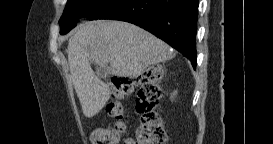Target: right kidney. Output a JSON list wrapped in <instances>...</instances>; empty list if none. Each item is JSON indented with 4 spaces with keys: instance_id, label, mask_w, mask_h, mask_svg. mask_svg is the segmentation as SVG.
Instances as JSON below:
<instances>
[{
    "instance_id": "ca27d5eb",
    "label": "right kidney",
    "mask_w": 273,
    "mask_h": 144,
    "mask_svg": "<svg viewBox=\"0 0 273 144\" xmlns=\"http://www.w3.org/2000/svg\"><path fill=\"white\" fill-rule=\"evenodd\" d=\"M176 95V93H173L172 96H171V99L173 100L174 99V96Z\"/></svg>"
}]
</instances>
